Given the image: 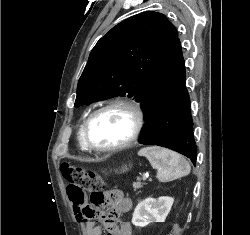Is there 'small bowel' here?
Instances as JSON below:
<instances>
[{
	"label": "small bowel",
	"instance_id": "obj_1",
	"mask_svg": "<svg viewBox=\"0 0 250 235\" xmlns=\"http://www.w3.org/2000/svg\"><path fill=\"white\" fill-rule=\"evenodd\" d=\"M108 200L99 209L102 223L89 218L93 209L88 203L80 206L73 205V211L79 222H84L86 235H132L129 222L118 220V216L130 211L131 199L120 190L107 193Z\"/></svg>",
	"mask_w": 250,
	"mask_h": 235
}]
</instances>
